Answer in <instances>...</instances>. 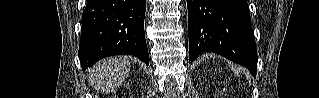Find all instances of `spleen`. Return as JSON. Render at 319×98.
<instances>
[{
    "mask_svg": "<svg viewBox=\"0 0 319 98\" xmlns=\"http://www.w3.org/2000/svg\"><path fill=\"white\" fill-rule=\"evenodd\" d=\"M236 73L239 74V71L236 69Z\"/></svg>",
    "mask_w": 319,
    "mask_h": 98,
    "instance_id": "spleen-1",
    "label": "spleen"
}]
</instances>
